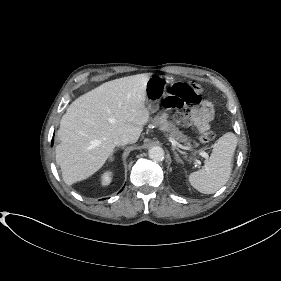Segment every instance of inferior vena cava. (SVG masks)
Instances as JSON below:
<instances>
[{"label":"inferior vena cava","instance_id":"1","mask_svg":"<svg viewBox=\"0 0 281 281\" xmlns=\"http://www.w3.org/2000/svg\"><path fill=\"white\" fill-rule=\"evenodd\" d=\"M113 142L116 146H124V145L130 143V138L126 135H120V136L115 137Z\"/></svg>","mask_w":281,"mask_h":281}]
</instances>
